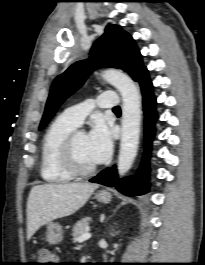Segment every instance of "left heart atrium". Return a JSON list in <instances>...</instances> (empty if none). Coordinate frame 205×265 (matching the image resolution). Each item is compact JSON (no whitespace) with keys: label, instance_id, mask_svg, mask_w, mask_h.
<instances>
[{"label":"left heart atrium","instance_id":"39dd6f15","mask_svg":"<svg viewBox=\"0 0 205 265\" xmlns=\"http://www.w3.org/2000/svg\"><path fill=\"white\" fill-rule=\"evenodd\" d=\"M88 149L92 160L101 163L106 160L112 150V136L108 126L97 120L87 135Z\"/></svg>","mask_w":205,"mask_h":265}]
</instances>
